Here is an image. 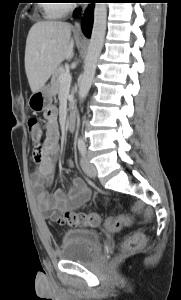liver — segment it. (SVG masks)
I'll use <instances>...</instances> for the list:
<instances>
[{"label":"liver","instance_id":"1","mask_svg":"<svg viewBox=\"0 0 181 300\" xmlns=\"http://www.w3.org/2000/svg\"><path fill=\"white\" fill-rule=\"evenodd\" d=\"M71 25L59 21H39L27 36L25 71L34 93L45 86L60 63L73 56Z\"/></svg>","mask_w":181,"mask_h":300}]
</instances>
